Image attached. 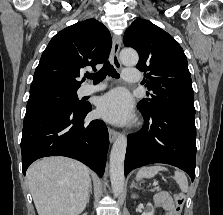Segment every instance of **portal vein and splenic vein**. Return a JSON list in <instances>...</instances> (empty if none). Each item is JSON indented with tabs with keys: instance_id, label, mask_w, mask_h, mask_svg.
<instances>
[{
	"instance_id": "portal-vein-and-splenic-vein-1",
	"label": "portal vein and splenic vein",
	"mask_w": 223,
	"mask_h": 215,
	"mask_svg": "<svg viewBox=\"0 0 223 215\" xmlns=\"http://www.w3.org/2000/svg\"><path fill=\"white\" fill-rule=\"evenodd\" d=\"M156 184H158V179H153V187L155 188L157 185Z\"/></svg>"
}]
</instances>
